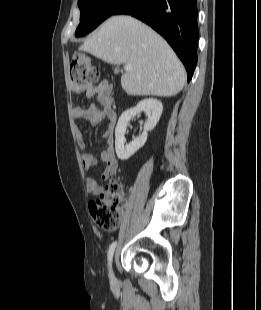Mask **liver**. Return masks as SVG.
<instances>
[{"instance_id":"obj_1","label":"liver","mask_w":261,"mask_h":310,"mask_svg":"<svg viewBox=\"0 0 261 310\" xmlns=\"http://www.w3.org/2000/svg\"><path fill=\"white\" fill-rule=\"evenodd\" d=\"M79 50L110 64L131 65L121 77L128 95L171 97L186 81L185 69L168 43L131 16L110 17Z\"/></svg>"}]
</instances>
